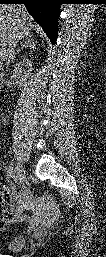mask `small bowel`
<instances>
[{
	"label": "small bowel",
	"instance_id": "c3829d8e",
	"mask_svg": "<svg viewBox=\"0 0 106 257\" xmlns=\"http://www.w3.org/2000/svg\"><path fill=\"white\" fill-rule=\"evenodd\" d=\"M25 210L31 212V216L25 214ZM38 208L32 201H26L23 206L15 205L12 197L3 195L0 203V228L4 229L8 224L22 221L34 220L38 217Z\"/></svg>",
	"mask_w": 106,
	"mask_h": 257
}]
</instances>
